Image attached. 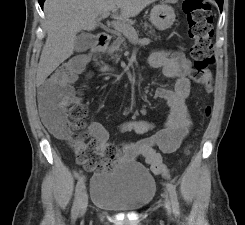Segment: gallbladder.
<instances>
[{"label":"gallbladder","mask_w":245,"mask_h":225,"mask_svg":"<svg viewBox=\"0 0 245 225\" xmlns=\"http://www.w3.org/2000/svg\"><path fill=\"white\" fill-rule=\"evenodd\" d=\"M95 43V37L86 32H82L80 35L77 36L75 41L74 49L76 52H85L89 48H91Z\"/></svg>","instance_id":"obj_1"}]
</instances>
